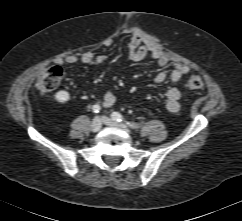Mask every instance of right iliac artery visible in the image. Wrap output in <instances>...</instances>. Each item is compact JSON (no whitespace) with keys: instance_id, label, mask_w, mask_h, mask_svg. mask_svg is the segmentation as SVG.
Listing matches in <instances>:
<instances>
[{"instance_id":"1","label":"right iliac artery","mask_w":242,"mask_h":221,"mask_svg":"<svg viewBox=\"0 0 242 221\" xmlns=\"http://www.w3.org/2000/svg\"><path fill=\"white\" fill-rule=\"evenodd\" d=\"M92 110L94 113H98L100 111V106L98 104H95L93 107H92Z\"/></svg>"}]
</instances>
